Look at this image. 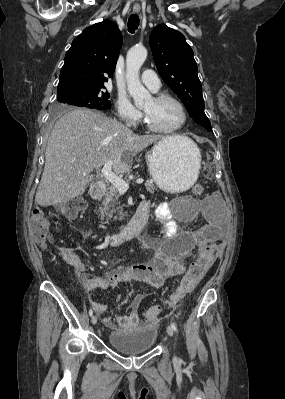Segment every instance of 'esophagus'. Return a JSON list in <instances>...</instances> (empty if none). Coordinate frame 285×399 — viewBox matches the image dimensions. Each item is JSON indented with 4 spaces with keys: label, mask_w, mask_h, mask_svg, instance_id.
<instances>
[{
    "label": "esophagus",
    "mask_w": 285,
    "mask_h": 399,
    "mask_svg": "<svg viewBox=\"0 0 285 399\" xmlns=\"http://www.w3.org/2000/svg\"><path fill=\"white\" fill-rule=\"evenodd\" d=\"M133 11H134L135 13H138V12L140 11V7L134 6V7H133Z\"/></svg>",
    "instance_id": "1"
}]
</instances>
